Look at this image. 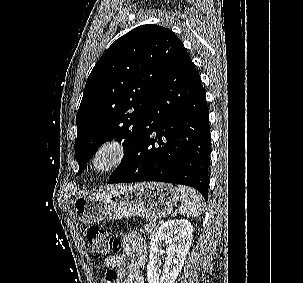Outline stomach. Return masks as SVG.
<instances>
[{
	"label": "stomach",
	"instance_id": "1",
	"mask_svg": "<svg viewBox=\"0 0 303 283\" xmlns=\"http://www.w3.org/2000/svg\"><path fill=\"white\" fill-rule=\"evenodd\" d=\"M179 191L171 184L147 182L119 185L73 201L78 218L85 223L105 219H122L139 215L158 219L169 215L177 206Z\"/></svg>",
	"mask_w": 303,
	"mask_h": 283
}]
</instances>
